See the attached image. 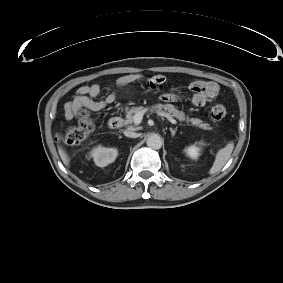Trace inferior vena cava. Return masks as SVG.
Masks as SVG:
<instances>
[{"mask_svg": "<svg viewBox=\"0 0 283 283\" xmlns=\"http://www.w3.org/2000/svg\"><path fill=\"white\" fill-rule=\"evenodd\" d=\"M124 135L127 136V137H130V138H137V137L140 136L139 133H136V132L129 130V129L124 131Z\"/></svg>", "mask_w": 283, "mask_h": 283, "instance_id": "inferior-vena-cava-1", "label": "inferior vena cava"}]
</instances>
